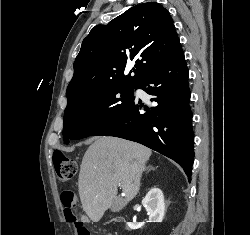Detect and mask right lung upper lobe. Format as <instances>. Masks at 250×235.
<instances>
[{
    "mask_svg": "<svg viewBox=\"0 0 250 235\" xmlns=\"http://www.w3.org/2000/svg\"><path fill=\"white\" fill-rule=\"evenodd\" d=\"M179 41L169 12L156 2L134 6L83 40L67 87L68 103L108 87H136L162 64ZM134 62L125 76L127 65Z\"/></svg>",
    "mask_w": 250,
    "mask_h": 235,
    "instance_id": "1",
    "label": "right lung upper lobe"
}]
</instances>
